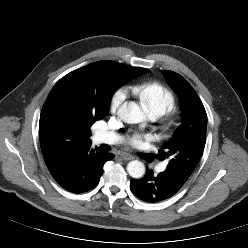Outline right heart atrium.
Segmentation results:
<instances>
[{
    "label": "right heart atrium",
    "mask_w": 248,
    "mask_h": 248,
    "mask_svg": "<svg viewBox=\"0 0 248 248\" xmlns=\"http://www.w3.org/2000/svg\"><path fill=\"white\" fill-rule=\"evenodd\" d=\"M126 90L124 88H117L111 95L110 98V109L116 111L120 108L126 99Z\"/></svg>",
    "instance_id": "d8ad5b80"
}]
</instances>
